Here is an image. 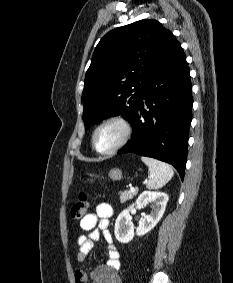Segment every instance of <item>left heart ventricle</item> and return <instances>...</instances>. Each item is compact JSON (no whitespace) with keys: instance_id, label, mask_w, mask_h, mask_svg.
<instances>
[{"instance_id":"left-heart-ventricle-1","label":"left heart ventricle","mask_w":233,"mask_h":283,"mask_svg":"<svg viewBox=\"0 0 233 283\" xmlns=\"http://www.w3.org/2000/svg\"><path fill=\"white\" fill-rule=\"evenodd\" d=\"M121 137V129L119 126L111 124L103 127L96 136V147L105 151L112 148Z\"/></svg>"}]
</instances>
